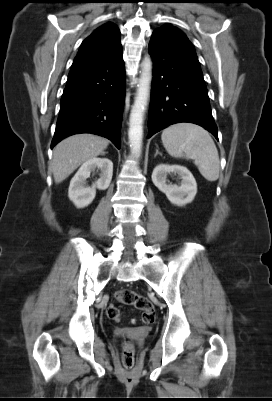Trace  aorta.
Wrapping results in <instances>:
<instances>
[{
  "label": "aorta",
  "instance_id": "aorta-1",
  "mask_svg": "<svg viewBox=\"0 0 272 401\" xmlns=\"http://www.w3.org/2000/svg\"><path fill=\"white\" fill-rule=\"evenodd\" d=\"M151 79L152 61L149 57H147L142 62V72L137 88V96L129 117V143L130 148L135 155H139L141 153L143 120L148 103Z\"/></svg>",
  "mask_w": 272,
  "mask_h": 401
}]
</instances>
